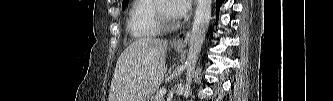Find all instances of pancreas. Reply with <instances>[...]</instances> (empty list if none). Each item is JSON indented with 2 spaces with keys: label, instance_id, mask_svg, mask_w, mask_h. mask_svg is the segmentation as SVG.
<instances>
[{
  "label": "pancreas",
  "instance_id": "pancreas-1",
  "mask_svg": "<svg viewBox=\"0 0 333 101\" xmlns=\"http://www.w3.org/2000/svg\"><path fill=\"white\" fill-rule=\"evenodd\" d=\"M160 90L156 92V95L154 96V101H163V96L160 94Z\"/></svg>",
  "mask_w": 333,
  "mask_h": 101
}]
</instances>
